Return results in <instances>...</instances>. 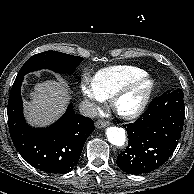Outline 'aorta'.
<instances>
[{"label": "aorta", "mask_w": 194, "mask_h": 194, "mask_svg": "<svg viewBox=\"0 0 194 194\" xmlns=\"http://www.w3.org/2000/svg\"><path fill=\"white\" fill-rule=\"evenodd\" d=\"M106 135L109 142L115 146L122 147L126 141L125 130L119 127H108Z\"/></svg>", "instance_id": "762f6f07"}]
</instances>
